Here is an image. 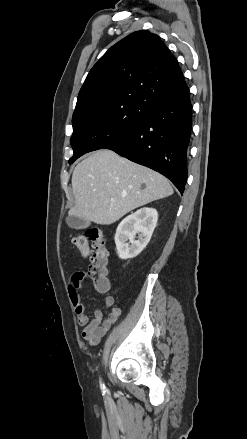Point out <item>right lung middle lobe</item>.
I'll list each match as a JSON object with an SVG mask.
<instances>
[{
	"label": "right lung middle lobe",
	"mask_w": 247,
	"mask_h": 439,
	"mask_svg": "<svg viewBox=\"0 0 247 439\" xmlns=\"http://www.w3.org/2000/svg\"><path fill=\"white\" fill-rule=\"evenodd\" d=\"M148 109L140 102L116 100L73 115L70 139L73 156L69 163L85 153L108 148L121 140L140 123Z\"/></svg>",
	"instance_id": "1"
}]
</instances>
